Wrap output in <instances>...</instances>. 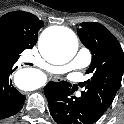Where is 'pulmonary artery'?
I'll return each mask as SVG.
<instances>
[{
	"label": "pulmonary artery",
	"mask_w": 124,
	"mask_h": 124,
	"mask_svg": "<svg viewBox=\"0 0 124 124\" xmlns=\"http://www.w3.org/2000/svg\"><path fill=\"white\" fill-rule=\"evenodd\" d=\"M29 60H33V58H29ZM91 60H92L91 51L83 47L78 51L74 59L66 65L53 66L36 60V66L40 67L42 71L50 72L53 74H63L70 70L83 69L91 63ZM79 95L80 93L78 94V96Z\"/></svg>",
	"instance_id": "pulmonary-artery-1"
}]
</instances>
